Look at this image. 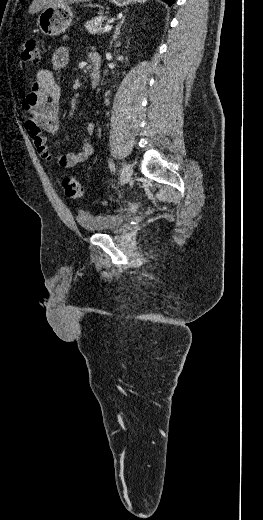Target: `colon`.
I'll return each instance as SVG.
<instances>
[{
    "instance_id": "colon-1",
    "label": "colon",
    "mask_w": 263,
    "mask_h": 520,
    "mask_svg": "<svg viewBox=\"0 0 263 520\" xmlns=\"http://www.w3.org/2000/svg\"><path fill=\"white\" fill-rule=\"evenodd\" d=\"M22 60L36 63L39 61V44L36 39H28L24 44L21 54ZM63 188L69 198H79L82 196V188L79 181L72 176L63 179Z\"/></svg>"
}]
</instances>
